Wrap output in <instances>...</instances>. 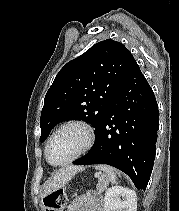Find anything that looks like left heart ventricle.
Segmentation results:
<instances>
[{
  "instance_id": "b2bd125f",
  "label": "left heart ventricle",
  "mask_w": 179,
  "mask_h": 211,
  "mask_svg": "<svg viewBox=\"0 0 179 211\" xmlns=\"http://www.w3.org/2000/svg\"><path fill=\"white\" fill-rule=\"evenodd\" d=\"M84 133L76 127L65 128L51 141L48 149L49 159L54 164L69 160L84 143Z\"/></svg>"
}]
</instances>
